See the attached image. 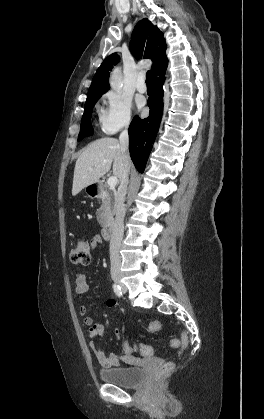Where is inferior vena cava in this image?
<instances>
[{
    "mask_svg": "<svg viewBox=\"0 0 264 419\" xmlns=\"http://www.w3.org/2000/svg\"><path fill=\"white\" fill-rule=\"evenodd\" d=\"M119 143L122 152V157L124 161L123 167V174L120 180V187L118 189V194L116 197L115 202V221L112 226V236L110 240V261H111V270L118 271L121 266V258L119 255L120 246L123 240L124 234V216H125V208H124V200L127 192V185H128V174H129V135L127 126L121 132L119 136Z\"/></svg>",
    "mask_w": 264,
    "mask_h": 419,
    "instance_id": "1",
    "label": "inferior vena cava"
}]
</instances>
